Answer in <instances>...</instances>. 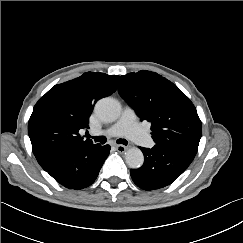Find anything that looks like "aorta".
<instances>
[{"label":"aorta","mask_w":243,"mask_h":243,"mask_svg":"<svg viewBox=\"0 0 243 243\" xmlns=\"http://www.w3.org/2000/svg\"><path fill=\"white\" fill-rule=\"evenodd\" d=\"M96 114L106 122H112L119 118L121 107L118 101L107 97L100 99L95 106ZM125 160L130 168L137 169L143 165L144 156L139 148H129L125 153Z\"/></svg>","instance_id":"obj_1"}]
</instances>
